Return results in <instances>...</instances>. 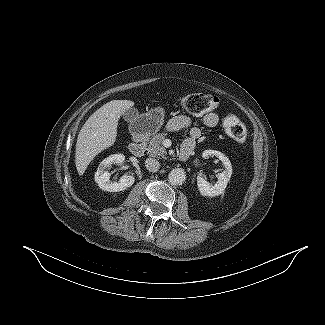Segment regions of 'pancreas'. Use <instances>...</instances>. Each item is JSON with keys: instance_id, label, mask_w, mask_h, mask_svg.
<instances>
[{"instance_id": "pancreas-1", "label": "pancreas", "mask_w": 325, "mask_h": 325, "mask_svg": "<svg viewBox=\"0 0 325 325\" xmlns=\"http://www.w3.org/2000/svg\"><path fill=\"white\" fill-rule=\"evenodd\" d=\"M166 134L165 133H158L154 135L147 147L148 154L152 157H158V158H164L166 155V149L163 146V141L165 139Z\"/></svg>"}]
</instances>
